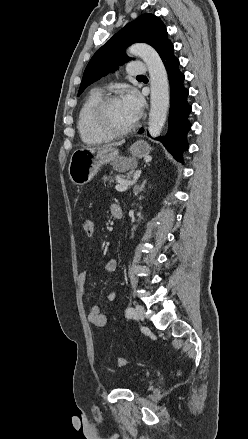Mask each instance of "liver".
Segmentation results:
<instances>
[{"label": "liver", "instance_id": "1", "mask_svg": "<svg viewBox=\"0 0 248 439\" xmlns=\"http://www.w3.org/2000/svg\"><path fill=\"white\" fill-rule=\"evenodd\" d=\"M124 142H117V143H111V144H108L107 146H120V145H122Z\"/></svg>", "mask_w": 248, "mask_h": 439}]
</instances>
